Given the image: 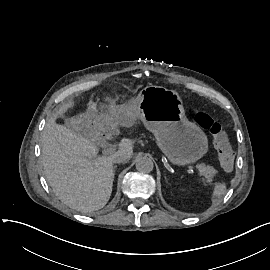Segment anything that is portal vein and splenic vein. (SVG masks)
Wrapping results in <instances>:
<instances>
[{
    "label": "portal vein and splenic vein",
    "instance_id": "obj_1",
    "mask_svg": "<svg viewBox=\"0 0 270 270\" xmlns=\"http://www.w3.org/2000/svg\"><path fill=\"white\" fill-rule=\"evenodd\" d=\"M101 153H102L103 155H112V154L114 153V150H113L112 148H103V149L101 150ZM195 168H196V167H195L194 165H192V164L188 165V169H189L190 171L194 170ZM196 170H198V169H196Z\"/></svg>",
    "mask_w": 270,
    "mask_h": 270
}]
</instances>
